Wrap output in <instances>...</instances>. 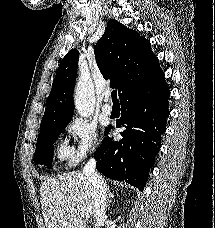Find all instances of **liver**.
I'll use <instances>...</instances> for the list:
<instances>
[{"instance_id": "obj_1", "label": "liver", "mask_w": 215, "mask_h": 228, "mask_svg": "<svg viewBox=\"0 0 215 228\" xmlns=\"http://www.w3.org/2000/svg\"><path fill=\"white\" fill-rule=\"evenodd\" d=\"M40 196L46 228H86L85 218L94 214L90 186L78 172L47 178L40 188ZM80 210L89 212L88 216H83Z\"/></svg>"}]
</instances>
